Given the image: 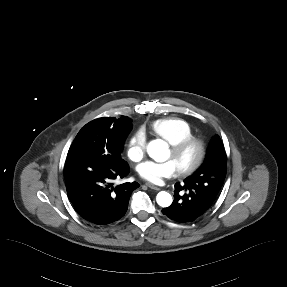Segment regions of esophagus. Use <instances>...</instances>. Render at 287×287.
Instances as JSON below:
<instances>
[{"label": "esophagus", "mask_w": 287, "mask_h": 287, "mask_svg": "<svg viewBox=\"0 0 287 287\" xmlns=\"http://www.w3.org/2000/svg\"><path fill=\"white\" fill-rule=\"evenodd\" d=\"M146 185H147L150 189H153V190H155V191H159V190H160L159 187H157V186H155V185H153V184H151V183H147Z\"/></svg>", "instance_id": "obj_1"}]
</instances>
